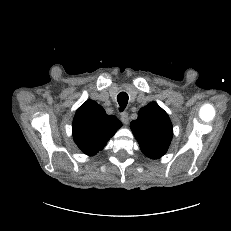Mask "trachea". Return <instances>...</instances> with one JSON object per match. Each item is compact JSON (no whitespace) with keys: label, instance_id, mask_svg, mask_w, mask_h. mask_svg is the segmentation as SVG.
Returning a JSON list of instances; mask_svg holds the SVG:
<instances>
[{"label":"trachea","instance_id":"trachea-1","mask_svg":"<svg viewBox=\"0 0 231 231\" xmlns=\"http://www.w3.org/2000/svg\"><path fill=\"white\" fill-rule=\"evenodd\" d=\"M117 101L119 104V110L122 112L128 103V94L120 92L117 96Z\"/></svg>","mask_w":231,"mask_h":231}]
</instances>
